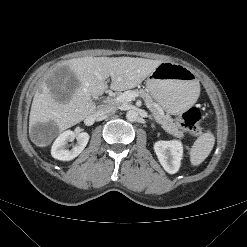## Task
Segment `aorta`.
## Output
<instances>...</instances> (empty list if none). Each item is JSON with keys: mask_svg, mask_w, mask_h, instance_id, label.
Instances as JSON below:
<instances>
[{"mask_svg": "<svg viewBox=\"0 0 247 247\" xmlns=\"http://www.w3.org/2000/svg\"><path fill=\"white\" fill-rule=\"evenodd\" d=\"M139 118V114L136 110L132 109L127 111L126 113V119L130 122H135Z\"/></svg>", "mask_w": 247, "mask_h": 247, "instance_id": "aorta-1", "label": "aorta"}]
</instances>
